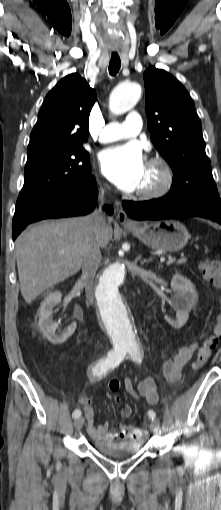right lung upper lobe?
Masks as SVG:
<instances>
[{"label":"right lung upper lobe","mask_w":221,"mask_h":510,"mask_svg":"<svg viewBox=\"0 0 221 510\" xmlns=\"http://www.w3.org/2000/svg\"><path fill=\"white\" fill-rule=\"evenodd\" d=\"M95 100V91L79 74L61 79L43 102L27 154L87 141L89 114Z\"/></svg>","instance_id":"right-lung-upper-lobe-1"}]
</instances>
